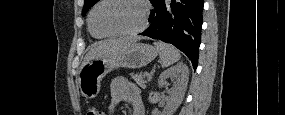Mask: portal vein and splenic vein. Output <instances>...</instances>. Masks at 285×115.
Here are the masks:
<instances>
[{
  "label": "portal vein and splenic vein",
  "instance_id": "obj_1",
  "mask_svg": "<svg viewBox=\"0 0 285 115\" xmlns=\"http://www.w3.org/2000/svg\"><path fill=\"white\" fill-rule=\"evenodd\" d=\"M144 76H149V72L145 71Z\"/></svg>",
  "mask_w": 285,
  "mask_h": 115
}]
</instances>
